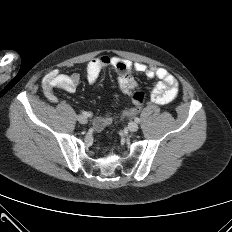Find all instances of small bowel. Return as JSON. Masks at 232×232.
Segmentation results:
<instances>
[{
	"label": "small bowel",
	"instance_id": "small-bowel-1",
	"mask_svg": "<svg viewBox=\"0 0 232 232\" xmlns=\"http://www.w3.org/2000/svg\"><path fill=\"white\" fill-rule=\"evenodd\" d=\"M112 67L117 72V84L121 92L125 95H132L137 88L134 78L135 73L144 74L148 78L157 79V84L150 92L151 100L159 105H165L173 101L179 91V84L176 78L165 68L147 66L143 63H132L116 56L102 55L91 60L85 71V77L89 83H95L100 72ZM81 76L78 73L63 74L57 70H52L44 77L42 91L45 97L52 103L58 101L54 89H61L66 92H74L79 85ZM135 109H133V113ZM114 117L111 114L96 117L93 126L96 131L102 130L111 124Z\"/></svg>",
	"mask_w": 232,
	"mask_h": 232
}]
</instances>
